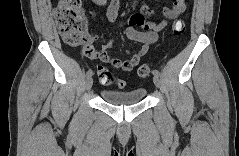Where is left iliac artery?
<instances>
[{"label":"left iliac artery","instance_id":"obj_1","mask_svg":"<svg viewBox=\"0 0 239 156\" xmlns=\"http://www.w3.org/2000/svg\"><path fill=\"white\" fill-rule=\"evenodd\" d=\"M152 73H153V75H157V76L160 75V72H159L157 69H154V70L152 71Z\"/></svg>","mask_w":239,"mask_h":156}]
</instances>
